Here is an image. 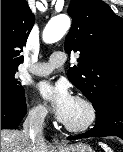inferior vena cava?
<instances>
[{
	"mask_svg": "<svg viewBox=\"0 0 123 152\" xmlns=\"http://www.w3.org/2000/svg\"><path fill=\"white\" fill-rule=\"evenodd\" d=\"M46 112L41 110L30 111L23 123V133L31 142L33 149L38 142L44 141L43 126ZM35 152V150H33Z\"/></svg>",
	"mask_w": 123,
	"mask_h": 152,
	"instance_id": "602c4592",
	"label": "inferior vena cava"
}]
</instances>
